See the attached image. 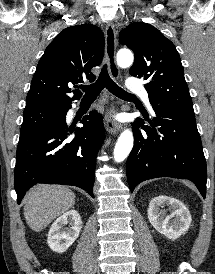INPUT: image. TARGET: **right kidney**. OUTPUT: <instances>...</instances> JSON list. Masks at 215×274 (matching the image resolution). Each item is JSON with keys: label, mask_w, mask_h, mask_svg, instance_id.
I'll return each instance as SVG.
<instances>
[{"label": "right kidney", "mask_w": 215, "mask_h": 274, "mask_svg": "<svg viewBox=\"0 0 215 274\" xmlns=\"http://www.w3.org/2000/svg\"><path fill=\"white\" fill-rule=\"evenodd\" d=\"M81 224L80 215L76 210L67 211L52 224L48 233V246L55 252L63 253L78 238Z\"/></svg>", "instance_id": "right-kidney-1"}]
</instances>
